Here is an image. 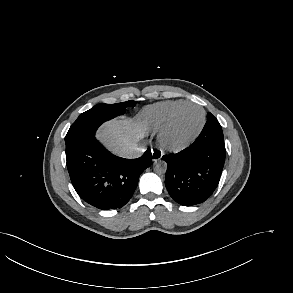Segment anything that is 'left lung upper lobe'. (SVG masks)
Listing matches in <instances>:
<instances>
[{
  "label": "left lung upper lobe",
  "mask_w": 293,
  "mask_h": 293,
  "mask_svg": "<svg viewBox=\"0 0 293 293\" xmlns=\"http://www.w3.org/2000/svg\"><path fill=\"white\" fill-rule=\"evenodd\" d=\"M209 118H212V119H214V120H216L217 121V119L211 114V113H208L207 114V119H209ZM218 122V121H217ZM219 123V122H218Z\"/></svg>",
  "instance_id": "obj_1"
}]
</instances>
